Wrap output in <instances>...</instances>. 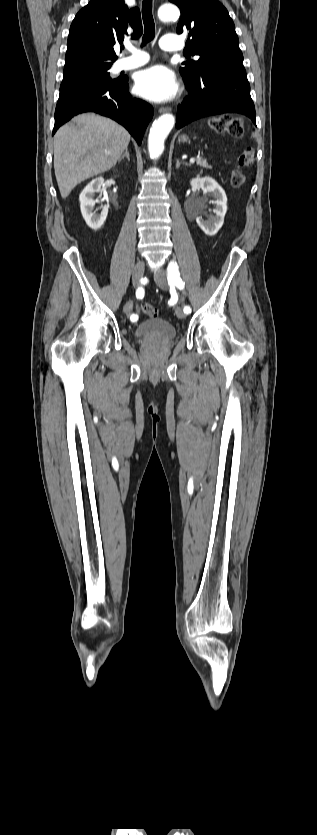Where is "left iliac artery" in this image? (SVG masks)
Wrapping results in <instances>:
<instances>
[{"label": "left iliac artery", "instance_id": "obj_1", "mask_svg": "<svg viewBox=\"0 0 317 835\" xmlns=\"http://www.w3.org/2000/svg\"><path fill=\"white\" fill-rule=\"evenodd\" d=\"M168 283L172 287L176 285L180 290L183 289L185 285L180 277L177 264L174 262H171L168 267ZM183 310L187 314L191 312L190 306H185Z\"/></svg>", "mask_w": 317, "mask_h": 835}]
</instances>
